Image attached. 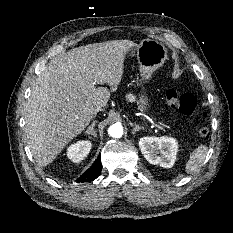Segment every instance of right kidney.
I'll list each match as a JSON object with an SVG mask.
<instances>
[{"label": "right kidney", "mask_w": 233, "mask_h": 233, "mask_svg": "<svg viewBox=\"0 0 233 233\" xmlns=\"http://www.w3.org/2000/svg\"><path fill=\"white\" fill-rule=\"evenodd\" d=\"M92 143L88 140L78 141L67 148L66 155L74 163L82 161L90 152Z\"/></svg>", "instance_id": "ca27d5eb"}]
</instances>
